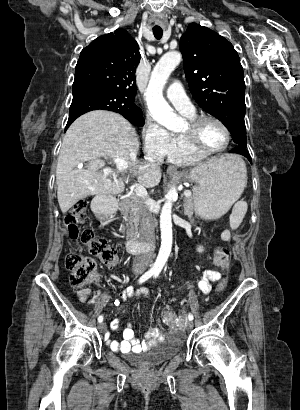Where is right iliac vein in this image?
Returning <instances> with one entry per match:
<instances>
[{"label":"right iliac vein","instance_id":"obj_1","mask_svg":"<svg viewBox=\"0 0 300 410\" xmlns=\"http://www.w3.org/2000/svg\"><path fill=\"white\" fill-rule=\"evenodd\" d=\"M98 329L100 332H105L106 331V324L104 322H101L98 324Z\"/></svg>","mask_w":300,"mask_h":410}]
</instances>
